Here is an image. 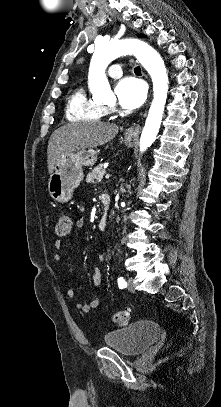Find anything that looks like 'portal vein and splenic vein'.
I'll list each match as a JSON object with an SVG mask.
<instances>
[{
	"label": "portal vein and splenic vein",
	"mask_w": 221,
	"mask_h": 407,
	"mask_svg": "<svg viewBox=\"0 0 221 407\" xmlns=\"http://www.w3.org/2000/svg\"><path fill=\"white\" fill-rule=\"evenodd\" d=\"M111 177V174H106L105 179H109Z\"/></svg>",
	"instance_id": "portal-vein-and-splenic-vein-1"
}]
</instances>
